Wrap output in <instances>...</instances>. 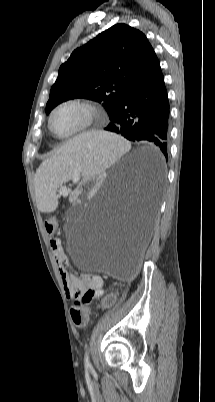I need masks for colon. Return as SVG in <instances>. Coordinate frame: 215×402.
I'll return each mask as SVG.
<instances>
[{
  "mask_svg": "<svg viewBox=\"0 0 215 402\" xmlns=\"http://www.w3.org/2000/svg\"><path fill=\"white\" fill-rule=\"evenodd\" d=\"M45 228L49 235L54 236L57 232L56 219L53 217L47 218L45 221ZM87 276L92 277V275ZM123 295L124 292L122 289H115L114 291H112V293L105 295L101 299V306L103 308H108L114 303L115 298H122ZM92 299H93V293L89 292L82 298L77 299L74 302V305L71 309V318L76 326L83 327L87 323L89 312L86 309V306L90 303Z\"/></svg>",
  "mask_w": 215,
  "mask_h": 402,
  "instance_id": "5ec220e1",
  "label": "colon"
}]
</instances>
